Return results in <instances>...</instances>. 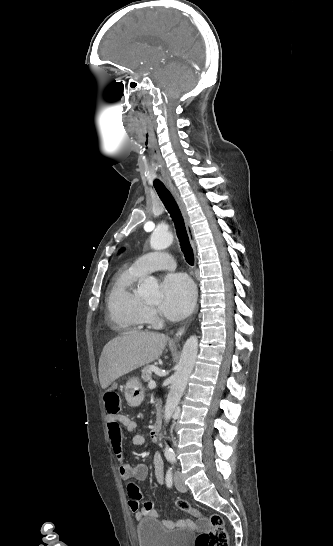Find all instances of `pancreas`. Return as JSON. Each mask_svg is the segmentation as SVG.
I'll list each match as a JSON object with an SVG mask.
<instances>
[{
    "label": "pancreas",
    "mask_w": 333,
    "mask_h": 546,
    "mask_svg": "<svg viewBox=\"0 0 333 546\" xmlns=\"http://www.w3.org/2000/svg\"><path fill=\"white\" fill-rule=\"evenodd\" d=\"M151 365H147L142 369V375L141 378L144 382H150L152 379V373H151Z\"/></svg>",
    "instance_id": "obj_1"
}]
</instances>
